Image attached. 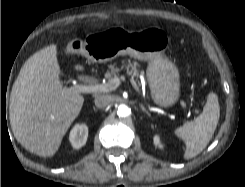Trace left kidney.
Here are the masks:
<instances>
[{
	"instance_id": "left-kidney-1",
	"label": "left kidney",
	"mask_w": 245,
	"mask_h": 187,
	"mask_svg": "<svg viewBox=\"0 0 245 187\" xmlns=\"http://www.w3.org/2000/svg\"><path fill=\"white\" fill-rule=\"evenodd\" d=\"M153 141H154L155 146H158L159 148L163 147L162 144H161L159 136H157V135L154 136Z\"/></svg>"
}]
</instances>
